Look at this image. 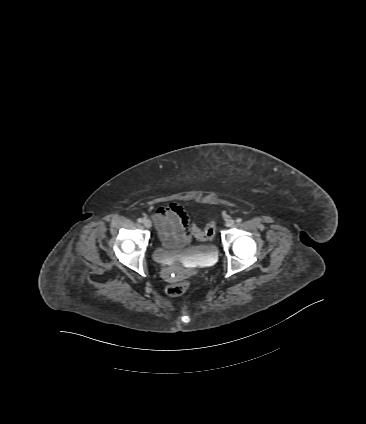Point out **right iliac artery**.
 <instances>
[{
  "mask_svg": "<svg viewBox=\"0 0 366 424\" xmlns=\"http://www.w3.org/2000/svg\"><path fill=\"white\" fill-rule=\"evenodd\" d=\"M139 223H142L143 222V219L142 218H138V220H137Z\"/></svg>",
  "mask_w": 366,
  "mask_h": 424,
  "instance_id": "82829eb1",
  "label": "right iliac artery"
}]
</instances>
